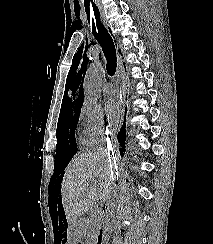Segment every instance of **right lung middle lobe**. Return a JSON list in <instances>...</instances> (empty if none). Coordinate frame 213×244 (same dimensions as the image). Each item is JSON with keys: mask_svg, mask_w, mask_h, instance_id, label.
I'll list each match as a JSON object with an SVG mask.
<instances>
[{"mask_svg": "<svg viewBox=\"0 0 213 244\" xmlns=\"http://www.w3.org/2000/svg\"><path fill=\"white\" fill-rule=\"evenodd\" d=\"M81 107L60 113L57 124V145L54 174L50 180L57 182L59 171L65 169L71 158L77 152L75 139L76 124L79 119Z\"/></svg>", "mask_w": 213, "mask_h": 244, "instance_id": "obj_1", "label": "right lung middle lobe"}]
</instances>
